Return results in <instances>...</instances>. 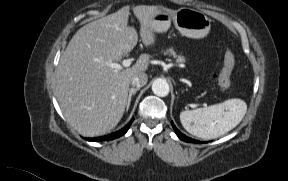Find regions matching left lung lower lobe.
Returning <instances> with one entry per match:
<instances>
[{"label": "left lung lower lobe", "mask_w": 288, "mask_h": 181, "mask_svg": "<svg viewBox=\"0 0 288 181\" xmlns=\"http://www.w3.org/2000/svg\"><path fill=\"white\" fill-rule=\"evenodd\" d=\"M171 125H172L175 133L177 134V136H178L181 140H183V141H185V142H187V143H202V142H200V141L194 140V139L186 136L185 134L181 133V132L176 128V126L174 125L173 122H171Z\"/></svg>", "instance_id": "1"}]
</instances>
